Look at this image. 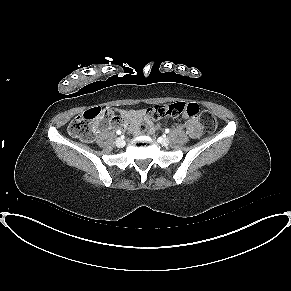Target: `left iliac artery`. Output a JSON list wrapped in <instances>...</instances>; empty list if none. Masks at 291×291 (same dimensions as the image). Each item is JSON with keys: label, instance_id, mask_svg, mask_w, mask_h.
<instances>
[{"label": "left iliac artery", "instance_id": "left-iliac-artery-1", "mask_svg": "<svg viewBox=\"0 0 291 291\" xmlns=\"http://www.w3.org/2000/svg\"><path fill=\"white\" fill-rule=\"evenodd\" d=\"M170 132V130L169 129H165V133H169Z\"/></svg>", "mask_w": 291, "mask_h": 291}]
</instances>
